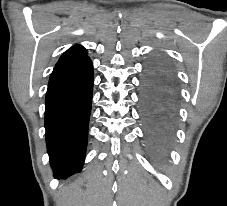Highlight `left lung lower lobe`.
<instances>
[{
	"mask_svg": "<svg viewBox=\"0 0 227 206\" xmlns=\"http://www.w3.org/2000/svg\"><path fill=\"white\" fill-rule=\"evenodd\" d=\"M176 88L169 67L153 60L144 68L140 87V112L150 146L164 147L173 134Z\"/></svg>",
	"mask_w": 227,
	"mask_h": 206,
	"instance_id": "1",
	"label": "left lung lower lobe"
}]
</instances>
